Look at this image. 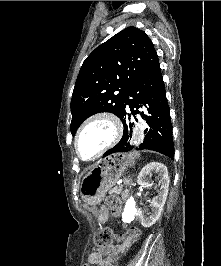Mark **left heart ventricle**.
Masks as SVG:
<instances>
[{"mask_svg":"<svg viewBox=\"0 0 221 266\" xmlns=\"http://www.w3.org/2000/svg\"><path fill=\"white\" fill-rule=\"evenodd\" d=\"M113 127L105 119H99L88 125L81 134L78 147L84 158H90L100 151L112 138Z\"/></svg>","mask_w":221,"mask_h":266,"instance_id":"b2bd125f","label":"left heart ventricle"}]
</instances>
